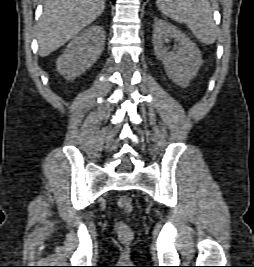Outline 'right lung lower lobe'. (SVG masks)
Listing matches in <instances>:
<instances>
[{
	"label": "right lung lower lobe",
	"mask_w": 254,
	"mask_h": 267,
	"mask_svg": "<svg viewBox=\"0 0 254 267\" xmlns=\"http://www.w3.org/2000/svg\"><path fill=\"white\" fill-rule=\"evenodd\" d=\"M113 3L115 2V0H111Z\"/></svg>",
	"instance_id": "obj_1"
}]
</instances>
